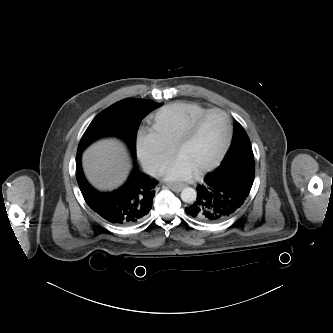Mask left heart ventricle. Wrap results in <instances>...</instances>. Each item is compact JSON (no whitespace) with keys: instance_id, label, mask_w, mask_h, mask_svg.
Returning a JSON list of instances; mask_svg holds the SVG:
<instances>
[{"instance_id":"b2bd125f","label":"left heart ventricle","mask_w":333,"mask_h":333,"mask_svg":"<svg viewBox=\"0 0 333 333\" xmlns=\"http://www.w3.org/2000/svg\"><path fill=\"white\" fill-rule=\"evenodd\" d=\"M226 135L224 116L212 113L200 123L194 135L179 147L176 154L196 171L215 159Z\"/></svg>"}]
</instances>
